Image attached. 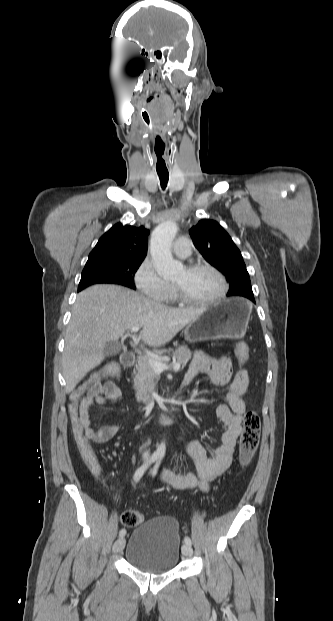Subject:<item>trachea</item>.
<instances>
[{
    "mask_svg": "<svg viewBox=\"0 0 333 621\" xmlns=\"http://www.w3.org/2000/svg\"><path fill=\"white\" fill-rule=\"evenodd\" d=\"M158 176H159V179H160L161 188L165 189L166 186H167L168 180H169L168 172L167 173L158 172Z\"/></svg>",
    "mask_w": 333,
    "mask_h": 621,
    "instance_id": "3493384b",
    "label": "trachea"
}]
</instances>
